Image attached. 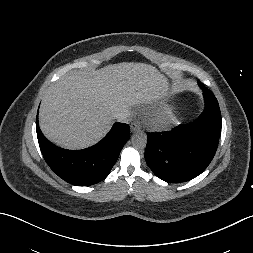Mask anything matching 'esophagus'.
Segmentation results:
<instances>
[{"instance_id": "esophagus-1", "label": "esophagus", "mask_w": 253, "mask_h": 253, "mask_svg": "<svg viewBox=\"0 0 253 253\" xmlns=\"http://www.w3.org/2000/svg\"><path fill=\"white\" fill-rule=\"evenodd\" d=\"M139 129H140V125L138 124V122L131 123L130 125L131 132L138 131Z\"/></svg>"}]
</instances>
